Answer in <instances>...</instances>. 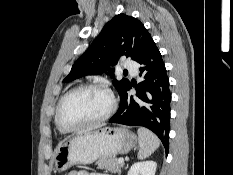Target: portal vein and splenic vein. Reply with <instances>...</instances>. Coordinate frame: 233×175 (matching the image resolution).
<instances>
[{
  "instance_id": "18ae733b",
  "label": "portal vein and splenic vein",
  "mask_w": 233,
  "mask_h": 175,
  "mask_svg": "<svg viewBox=\"0 0 233 175\" xmlns=\"http://www.w3.org/2000/svg\"><path fill=\"white\" fill-rule=\"evenodd\" d=\"M118 162L121 163V164H123L124 163V159L123 158H119Z\"/></svg>"
}]
</instances>
